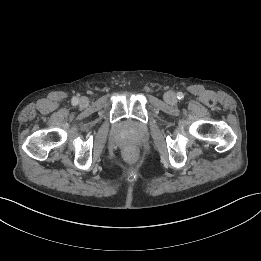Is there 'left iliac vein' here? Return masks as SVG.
Masks as SVG:
<instances>
[{
	"label": "left iliac vein",
	"mask_w": 261,
	"mask_h": 261,
	"mask_svg": "<svg viewBox=\"0 0 261 261\" xmlns=\"http://www.w3.org/2000/svg\"><path fill=\"white\" fill-rule=\"evenodd\" d=\"M164 98L165 101L169 104H174L177 101L176 95L173 92H167Z\"/></svg>",
	"instance_id": "obj_1"
}]
</instances>
